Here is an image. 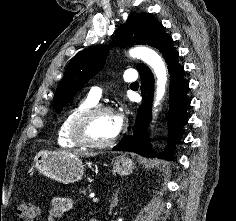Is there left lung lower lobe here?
<instances>
[{"instance_id": "1", "label": "left lung lower lobe", "mask_w": 236, "mask_h": 221, "mask_svg": "<svg viewBox=\"0 0 236 221\" xmlns=\"http://www.w3.org/2000/svg\"><path fill=\"white\" fill-rule=\"evenodd\" d=\"M157 48L164 56L170 72V142L167 149L159 154V157L172 159L174 150V138L186 123V110L190 105L186 92L189 88L188 83L183 78L184 68L177 62L179 53L173 47V40L168 35L163 34L155 43ZM141 78V91L143 104L139 107L135 127L132 136H128L122 143L113 148L115 151H132L142 156L152 157L154 155L149 146L147 136V124L151 119V105L153 101L154 77L150 69L142 65L139 68Z\"/></svg>"}]
</instances>
